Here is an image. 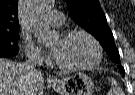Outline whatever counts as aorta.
Masks as SVG:
<instances>
[{
  "instance_id": "obj_1",
  "label": "aorta",
  "mask_w": 135,
  "mask_h": 95,
  "mask_svg": "<svg viewBox=\"0 0 135 95\" xmlns=\"http://www.w3.org/2000/svg\"><path fill=\"white\" fill-rule=\"evenodd\" d=\"M52 0H33L31 5L32 26L34 35L43 42H50L57 37L45 21L46 13L52 8Z\"/></svg>"
}]
</instances>
